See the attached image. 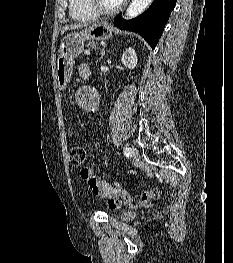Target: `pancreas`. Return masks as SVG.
I'll list each match as a JSON object with an SVG mask.
<instances>
[{
    "instance_id": "obj_1",
    "label": "pancreas",
    "mask_w": 233,
    "mask_h": 263,
    "mask_svg": "<svg viewBox=\"0 0 233 263\" xmlns=\"http://www.w3.org/2000/svg\"><path fill=\"white\" fill-rule=\"evenodd\" d=\"M86 47L88 48H96L97 47V43L96 42H89Z\"/></svg>"
}]
</instances>
